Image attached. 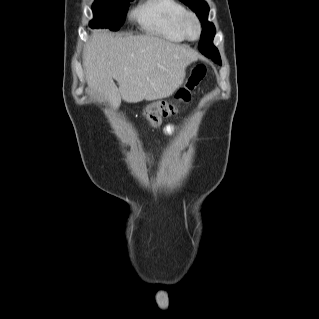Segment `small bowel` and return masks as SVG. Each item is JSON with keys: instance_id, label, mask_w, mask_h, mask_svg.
<instances>
[{"instance_id": "small-bowel-1", "label": "small bowel", "mask_w": 319, "mask_h": 319, "mask_svg": "<svg viewBox=\"0 0 319 319\" xmlns=\"http://www.w3.org/2000/svg\"><path fill=\"white\" fill-rule=\"evenodd\" d=\"M164 134L167 137H173L175 135V128L173 126H167L164 130Z\"/></svg>"}]
</instances>
